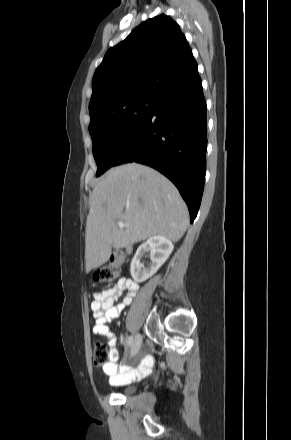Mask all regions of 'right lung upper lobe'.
<instances>
[{"label": "right lung upper lobe", "mask_w": 291, "mask_h": 440, "mask_svg": "<svg viewBox=\"0 0 291 440\" xmlns=\"http://www.w3.org/2000/svg\"><path fill=\"white\" fill-rule=\"evenodd\" d=\"M197 67L179 25L164 14L141 23L110 48L92 79L89 111L137 96H155Z\"/></svg>", "instance_id": "obj_1"}]
</instances>
